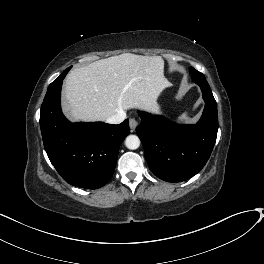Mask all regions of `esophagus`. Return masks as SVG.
Here are the masks:
<instances>
[{"label": "esophagus", "instance_id": "1", "mask_svg": "<svg viewBox=\"0 0 264 264\" xmlns=\"http://www.w3.org/2000/svg\"><path fill=\"white\" fill-rule=\"evenodd\" d=\"M138 125V121L135 118H130L129 119V126L131 131H134Z\"/></svg>", "mask_w": 264, "mask_h": 264}]
</instances>
